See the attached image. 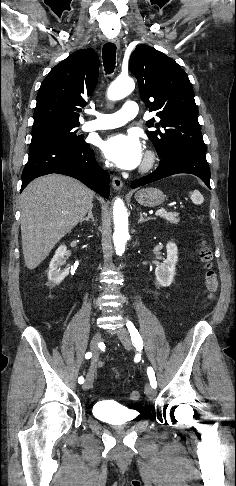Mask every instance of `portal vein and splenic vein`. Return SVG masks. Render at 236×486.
<instances>
[{
    "label": "portal vein and splenic vein",
    "mask_w": 236,
    "mask_h": 486,
    "mask_svg": "<svg viewBox=\"0 0 236 486\" xmlns=\"http://www.w3.org/2000/svg\"><path fill=\"white\" fill-rule=\"evenodd\" d=\"M165 211L166 210L164 208H161V209H159V210L156 211L155 215L156 216L162 215L163 213H165Z\"/></svg>",
    "instance_id": "18ae733b"
}]
</instances>
